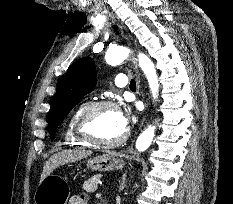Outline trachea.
Masks as SVG:
<instances>
[{
	"label": "trachea",
	"mask_w": 233,
	"mask_h": 204,
	"mask_svg": "<svg viewBox=\"0 0 233 204\" xmlns=\"http://www.w3.org/2000/svg\"><path fill=\"white\" fill-rule=\"evenodd\" d=\"M130 88L131 89H136V81L134 79H132L131 82H130Z\"/></svg>",
	"instance_id": "trachea-1"
}]
</instances>
